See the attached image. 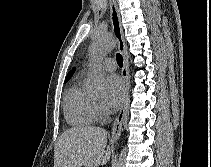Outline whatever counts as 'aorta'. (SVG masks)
Returning <instances> with one entry per match:
<instances>
[{
  "label": "aorta",
  "mask_w": 211,
  "mask_h": 167,
  "mask_svg": "<svg viewBox=\"0 0 211 167\" xmlns=\"http://www.w3.org/2000/svg\"><path fill=\"white\" fill-rule=\"evenodd\" d=\"M115 47V41L112 37L107 35L99 36L94 40L93 44L90 47V56L92 59V71L90 78V87L94 90H101L106 84V76L102 72L99 61ZM127 149L123 148L121 151L118 161L115 167H125V158H126Z\"/></svg>",
  "instance_id": "1"
}]
</instances>
